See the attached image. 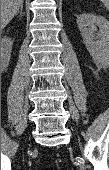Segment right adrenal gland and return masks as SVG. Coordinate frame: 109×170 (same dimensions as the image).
<instances>
[{
    "mask_svg": "<svg viewBox=\"0 0 109 170\" xmlns=\"http://www.w3.org/2000/svg\"><path fill=\"white\" fill-rule=\"evenodd\" d=\"M20 14V16L22 17L23 16V4H21V6H20V9H19V11L17 12V14Z\"/></svg>",
    "mask_w": 109,
    "mask_h": 170,
    "instance_id": "right-adrenal-gland-1",
    "label": "right adrenal gland"
}]
</instances>
